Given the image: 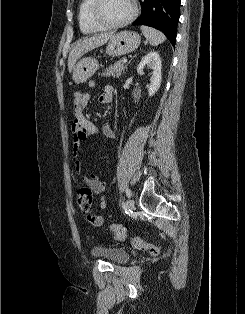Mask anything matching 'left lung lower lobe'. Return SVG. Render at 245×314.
<instances>
[{
    "label": "left lung lower lobe",
    "instance_id": "left-lung-lower-lobe-1",
    "mask_svg": "<svg viewBox=\"0 0 245 314\" xmlns=\"http://www.w3.org/2000/svg\"><path fill=\"white\" fill-rule=\"evenodd\" d=\"M142 13L133 24L146 25L161 30L175 45L180 16V0H139Z\"/></svg>",
    "mask_w": 245,
    "mask_h": 314
}]
</instances>
